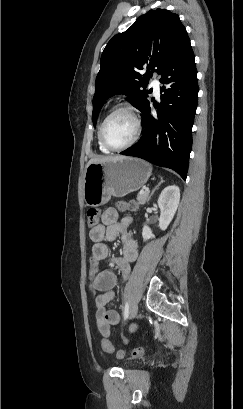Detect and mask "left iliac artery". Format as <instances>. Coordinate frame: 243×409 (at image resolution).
<instances>
[{
  "mask_svg": "<svg viewBox=\"0 0 243 409\" xmlns=\"http://www.w3.org/2000/svg\"><path fill=\"white\" fill-rule=\"evenodd\" d=\"M129 316V304L128 302L125 303L124 311H123V318L126 320Z\"/></svg>",
  "mask_w": 243,
  "mask_h": 409,
  "instance_id": "44dca946",
  "label": "left iliac artery"
}]
</instances>
